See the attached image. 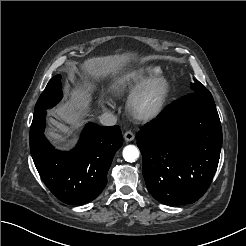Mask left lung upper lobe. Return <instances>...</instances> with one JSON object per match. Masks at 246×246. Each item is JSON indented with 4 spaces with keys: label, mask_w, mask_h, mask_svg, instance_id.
Returning <instances> with one entry per match:
<instances>
[{
    "label": "left lung upper lobe",
    "mask_w": 246,
    "mask_h": 246,
    "mask_svg": "<svg viewBox=\"0 0 246 246\" xmlns=\"http://www.w3.org/2000/svg\"><path fill=\"white\" fill-rule=\"evenodd\" d=\"M191 92H200L207 90L198 80L194 79V82L191 83Z\"/></svg>",
    "instance_id": "left-lung-upper-lobe-1"
}]
</instances>
